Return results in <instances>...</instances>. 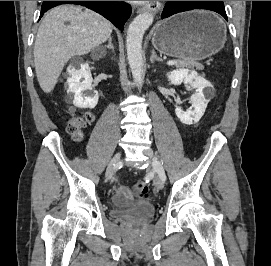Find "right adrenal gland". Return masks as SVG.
Returning <instances> with one entry per match:
<instances>
[{"label": "right adrenal gland", "mask_w": 271, "mask_h": 266, "mask_svg": "<svg viewBox=\"0 0 271 266\" xmlns=\"http://www.w3.org/2000/svg\"><path fill=\"white\" fill-rule=\"evenodd\" d=\"M106 48L111 49L114 52V46L112 44V37L109 38L108 44L105 45Z\"/></svg>", "instance_id": "1"}]
</instances>
